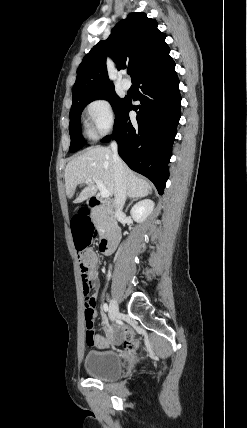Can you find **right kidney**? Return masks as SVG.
Returning a JSON list of instances; mask_svg holds the SVG:
<instances>
[{"label": "right kidney", "mask_w": 247, "mask_h": 428, "mask_svg": "<svg viewBox=\"0 0 247 428\" xmlns=\"http://www.w3.org/2000/svg\"><path fill=\"white\" fill-rule=\"evenodd\" d=\"M154 206L155 204L152 200L145 199L136 203L132 207L130 214L136 222L142 223L152 213Z\"/></svg>", "instance_id": "obj_1"}]
</instances>
